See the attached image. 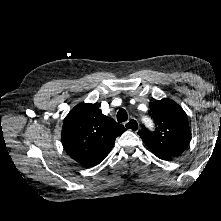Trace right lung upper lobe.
I'll use <instances>...</instances> for the list:
<instances>
[{"label": "right lung upper lobe", "instance_id": "right-lung-upper-lobe-1", "mask_svg": "<svg viewBox=\"0 0 221 221\" xmlns=\"http://www.w3.org/2000/svg\"><path fill=\"white\" fill-rule=\"evenodd\" d=\"M125 131L123 125L102 114L99 103H81L64 119L61 139L71 158L93 167L103 161L116 137Z\"/></svg>", "mask_w": 221, "mask_h": 221}]
</instances>
